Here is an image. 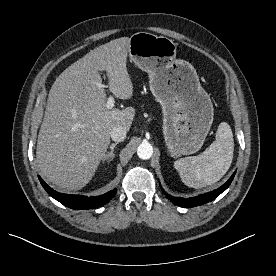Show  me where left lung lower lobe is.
I'll return each instance as SVG.
<instances>
[{"instance_id":"left-lung-lower-lobe-1","label":"left lung lower lobe","mask_w":276,"mask_h":276,"mask_svg":"<svg viewBox=\"0 0 276 276\" xmlns=\"http://www.w3.org/2000/svg\"><path fill=\"white\" fill-rule=\"evenodd\" d=\"M235 176V172L233 173V175L229 178V180L222 185L221 187H219L218 189L211 191L209 193L206 194H202L199 195L197 197H193V198H175L172 197L171 195L167 194L166 192L163 191V193L165 194V196L174 204L181 206V207H186V208H190V207H195V206H200L203 205L207 202H210L212 200H214L215 198H217L222 192H224L229 185L231 184L233 178Z\"/></svg>"}]
</instances>
